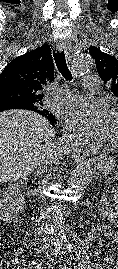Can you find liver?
Wrapping results in <instances>:
<instances>
[{
	"instance_id": "obj_1",
	"label": "liver",
	"mask_w": 118,
	"mask_h": 269,
	"mask_svg": "<svg viewBox=\"0 0 118 269\" xmlns=\"http://www.w3.org/2000/svg\"><path fill=\"white\" fill-rule=\"evenodd\" d=\"M55 130L27 110L0 113V183L25 178L54 153Z\"/></svg>"
}]
</instances>
